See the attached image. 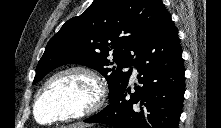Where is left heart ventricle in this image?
<instances>
[{
    "label": "left heart ventricle",
    "mask_w": 221,
    "mask_h": 128,
    "mask_svg": "<svg viewBox=\"0 0 221 128\" xmlns=\"http://www.w3.org/2000/svg\"><path fill=\"white\" fill-rule=\"evenodd\" d=\"M89 83L76 75H65L54 81L45 91L37 108V117L46 122L52 118L77 111L90 98Z\"/></svg>",
    "instance_id": "left-heart-ventricle-1"
}]
</instances>
